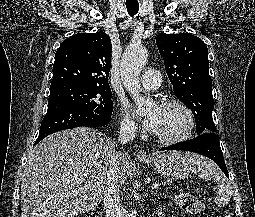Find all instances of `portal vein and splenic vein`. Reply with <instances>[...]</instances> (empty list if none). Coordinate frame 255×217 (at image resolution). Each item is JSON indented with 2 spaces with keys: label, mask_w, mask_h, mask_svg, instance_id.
<instances>
[{
  "label": "portal vein and splenic vein",
  "mask_w": 255,
  "mask_h": 217,
  "mask_svg": "<svg viewBox=\"0 0 255 217\" xmlns=\"http://www.w3.org/2000/svg\"><path fill=\"white\" fill-rule=\"evenodd\" d=\"M158 184H154L153 186H152V189H157L158 188Z\"/></svg>",
  "instance_id": "portal-vein-and-splenic-vein-1"
}]
</instances>
